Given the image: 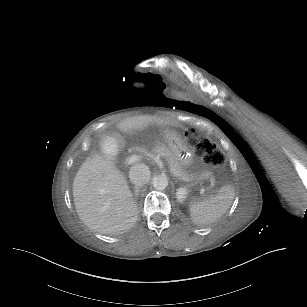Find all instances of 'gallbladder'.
Wrapping results in <instances>:
<instances>
[{"label": "gallbladder", "instance_id": "gallbladder-1", "mask_svg": "<svg viewBox=\"0 0 307 307\" xmlns=\"http://www.w3.org/2000/svg\"><path fill=\"white\" fill-rule=\"evenodd\" d=\"M123 147V137L119 133H111L102 140L105 153L118 154Z\"/></svg>", "mask_w": 307, "mask_h": 307}]
</instances>
